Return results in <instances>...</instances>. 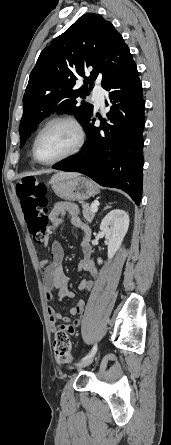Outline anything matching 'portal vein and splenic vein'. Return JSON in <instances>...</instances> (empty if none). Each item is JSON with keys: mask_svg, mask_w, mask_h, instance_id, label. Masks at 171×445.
<instances>
[{"mask_svg": "<svg viewBox=\"0 0 171 445\" xmlns=\"http://www.w3.org/2000/svg\"><path fill=\"white\" fill-rule=\"evenodd\" d=\"M91 210L95 213L98 210V204L97 203H93L91 204Z\"/></svg>", "mask_w": 171, "mask_h": 445, "instance_id": "obj_1", "label": "portal vein and splenic vein"}]
</instances>
